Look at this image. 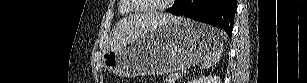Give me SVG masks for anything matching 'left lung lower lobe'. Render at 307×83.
Segmentation results:
<instances>
[{
    "label": "left lung lower lobe",
    "instance_id": "left-lung-lower-lobe-1",
    "mask_svg": "<svg viewBox=\"0 0 307 83\" xmlns=\"http://www.w3.org/2000/svg\"><path fill=\"white\" fill-rule=\"evenodd\" d=\"M236 9V0H175L166 12L219 27L230 36Z\"/></svg>",
    "mask_w": 307,
    "mask_h": 83
}]
</instances>
